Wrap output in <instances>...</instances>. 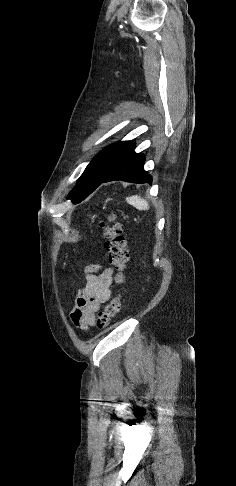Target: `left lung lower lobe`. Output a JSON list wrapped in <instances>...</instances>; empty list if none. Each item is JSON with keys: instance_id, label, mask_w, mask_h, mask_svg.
<instances>
[{"instance_id": "0a47b994", "label": "left lung lower lobe", "mask_w": 236, "mask_h": 486, "mask_svg": "<svg viewBox=\"0 0 236 486\" xmlns=\"http://www.w3.org/2000/svg\"><path fill=\"white\" fill-rule=\"evenodd\" d=\"M135 143L117 162L101 183L123 180L131 183H151V176L143 169L145 156L135 153ZM100 183V184H101Z\"/></svg>"}]
</instances>
